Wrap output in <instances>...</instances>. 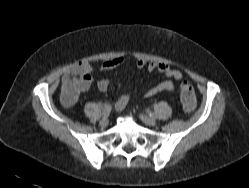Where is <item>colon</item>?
I'll return each mask as SVG.
<instances>
[{"mask_svg":"<svg viewBox=\"0 0 249 188\" xmlns=\"http://www.w3.org/2000/svg\"><path fill=\"white\" fill-rule=\"evenodd\" d=\"M180 102L186 112H192L196 107V98L192 85L183 81L180 86Z\"/></svg>","mask_w":249,"mask_h":188,"instance_id":"obj_1","label":"colon"}]
</instances>
